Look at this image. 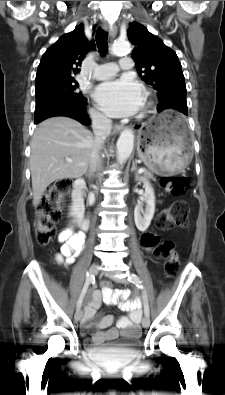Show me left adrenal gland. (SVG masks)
<instances>
[{"label": "left adrenal gland", "mask_w": 225, "mask_h": 395, "mask_svg": "<svg viewBox=\"0 0 225 395\" xmlns=\"http://www.w3.org/2000/svg\"><path fill=\"white\" fill-rule=\"evenodd\" d=\"M133 171H137V167H136V162L135 161H133V163H132V168H131V172H133Z\"/></svg>", "instance_id": "1"}]
</instances>
